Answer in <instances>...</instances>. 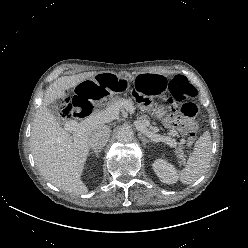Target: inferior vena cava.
<instances>
[{
  "mask_svg": "<svg viewBox=\"0 0 248 248\" xmlns=\"http://www.w3.org/2000/svg\"><path fill=\"white\" fill-rule=\"evenodd\" d=\"M110 133L111 130L106 125L96 128L89 137V147L94 150L102 149L107 144Z\"/></svg>",
  "mask_w": 248,
  "mask_h": 248,
  "instance_id": "602c4592",
  "label": "inferior vena cava"
}]
</instances>
